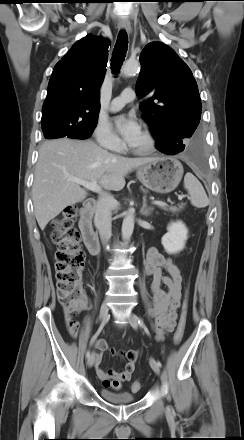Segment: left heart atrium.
Masks as SVG:
<instances>
[{
	"label": "left heart atrium",
	"instance_id": "39dd6f15",
	"mask_svg": "<svg viewBox=\"0 0 244 440\" xmlns=\"http://www.w3.org/2000/svg\"><path fill=\"white\" fill-rule=\"evenodd\" d=\"M114 123L117 131L130 145H132L141 134V128L138 122L131 117L118 116L114 119Z\"/></svg>",
	"mask_w": 244,
	"mask_h": 440
}]
</instances>
